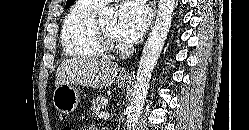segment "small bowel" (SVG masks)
I'll use <instances>...</instances> for the list:
<instances>
[{
  "label": "small bowel",
  "mask_w": 249,
  "mask_h": 130,
  "mask_svg": "<svg viewBox=\"0 0 249 130\" xmlns=\"http://www.w3.org/2000/svg\"><path fill=\"white\" fill-rule=\"evenodd\" d=\"M88 130H98L94 126H91Z\"/></svg>",
  "instance_id": "obj_1"
}]
</instances>
